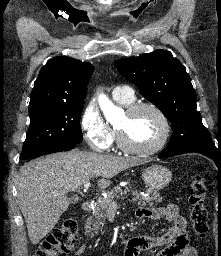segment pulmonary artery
I'll return each mask as SVG.
<instances>
[{
    "label": "pulmonary artery",
    "mask_w": 221,
    "mask_h": 256,
    "mask_svg": "<svg viewBox=\"0 0 221 256\" xmlns=\"http://www.w3.org/2000/svg\"><path fill=\"white\" fill-rule=\"evenodd\" d=\"M112 95L116 99L132 100L134 92L129 86H117L113 89Z\"/></svg>",
    "instance_id": "obj_1"
}]
</instances>
